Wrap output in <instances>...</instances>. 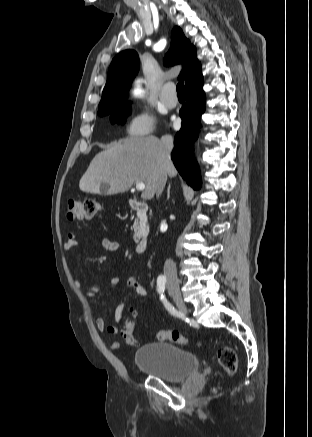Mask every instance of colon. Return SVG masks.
<instances>
[{
    "label": "colon",
    "instance_id": "1",
    "mask_svg": "<svg viewBox=\"0 0 312 437\" xmlns=\"http://www.w3.org/2000/svg\"><path fill=\"white\" fill-rule=\"evenodd\" d=\"M103 211V206L94 199H71L68 202L67 218L69 221L90 220ZM136 314L132 312L124 318L122 337L129 346H137L138 341L134 335ZM156 336L161 341H171L178 344H187L189 340L177 330H160ZM199 345V342H195ZM219 364L228 374L237 371L238 360L235 351L230 347H220L216 353Z\"/></svg>",
    "mask_w": 312,
    "mask_h": 437
}]
</instances>
